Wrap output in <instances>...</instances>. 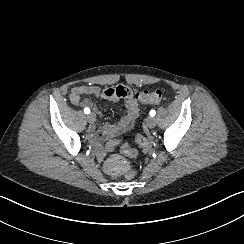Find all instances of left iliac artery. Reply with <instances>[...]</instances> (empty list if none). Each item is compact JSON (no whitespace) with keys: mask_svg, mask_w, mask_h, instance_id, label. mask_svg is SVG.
<instances>
[{"mask_svg":"<svg viewBox=\"0 0 244 244\" xmlns=\"http://www.w3.org/2000/svg\"><path fill=\"white\" fill-rule=\"evenodd\" d=\"M155 114H156L155 110H151V111H150V116H151V117L155 116Z\"/></svg>","mask_w":244,"mask_h":244,"instance_id":"44dca946","label":"left iliac artery"}]
</instances>
